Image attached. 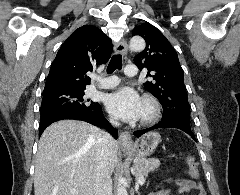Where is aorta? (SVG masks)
I'll return each instance as SVG.
<instances>
[{"label":"aorta","instance_id":"762f6f07","mask_svg":"<svg viewBox=\"0 0 240 195\" xmlns=\"http://www.w3.org/2000/svg\"><path fill=\"white\" fill-rule=\"evenodd\" d=\"M145 48V40L143 38H132L129 42V50L131 52H142ZM126 179L119 175L118 177V185H117V195H128V191L124 185Z\"/></svg>","mask_w":240,"mask_h":195}]
</instances>
